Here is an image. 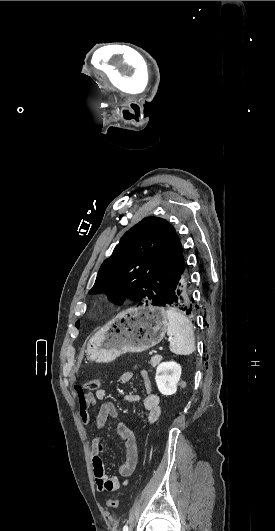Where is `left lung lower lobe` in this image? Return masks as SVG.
<instances>
[{
    "mask_svg": "<svg viewBox=\"0 0 275 531\" xmlns=\"http://www.w3.org/2000/svg\"><path fill=\"white\" fill-rule=\"evenodd\" d=\"M187 269L185 267L179 282L168 301L165 303L166 307L181 310L186 315L192 316L195 312V301L193 299V291Z\"/></svg>",
    "mask_w": 275,
    "mask_h": 531,
    "instance_id": "obj_1",
    "label": "left lung lower lobe"
}]
</instances>
